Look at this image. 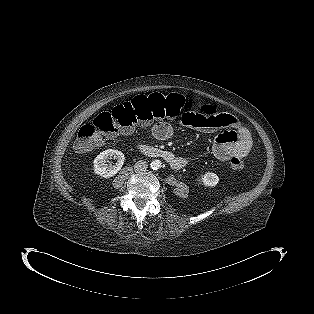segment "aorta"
<instances>
[{
  "label": "aorta",
  "instance_id": "1",
  "mask_svg": "<svg viewBox=\"0 0 314 314\" xmlns=\"http://www.w3.org/2000/svg\"><path fill=\"white\" fill-rule=\"evenodd\" d=\"M162 166V162L160 160H154L152 163H151V168L153 170H157L159 169L160 167Z\"/></svg>",
  "mask_w": 314,
  "mask_h": 314
}]
</instances>
